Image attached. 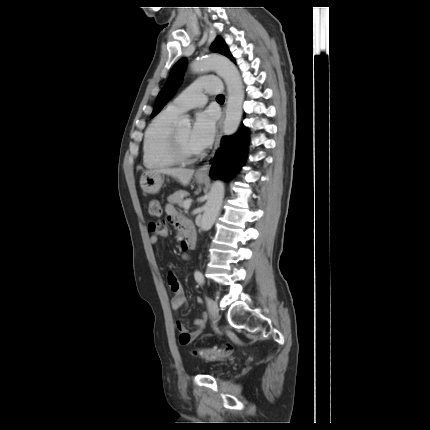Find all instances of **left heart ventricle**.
Listing matches in <instances>:
<instances>
[{
	"mask_svg": "<svg viewBox=\"0 0 430 430\" xmlns=\"http://www.w3.org/2000/svg\"><path fill=\"white\" fill-rule=\"evenodd\" d=\"M177 131H178V136H179L180 142L182 143L184 149L189 153L198 152L197 150H195L192 147L191 142H190V138H191L190 127H178Z\"/></svg>",
	"mask_w": 430,
	"mask_h": 430,
	"instance_id": "obj_1",
	"label": "left heart ventricle"
}]
</instances>
